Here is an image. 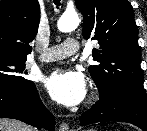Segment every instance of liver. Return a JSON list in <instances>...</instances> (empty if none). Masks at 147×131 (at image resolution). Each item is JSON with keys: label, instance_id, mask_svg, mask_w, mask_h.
Here are the masks:
<instances>
[{"label": "liver", "instance_id": "1", "mask_svg": "<svg viewBox=\"0 0 147 131\" xmlns=\"http://www.w3.org/2000/svg\"><path fill=\"white\" fill-rule=\"evenodd\" d=\"M0 131H35V130L18 120L0 118Z\"/></svg>", "mask_w": 147, "mask_h": 131}]
</instances>
